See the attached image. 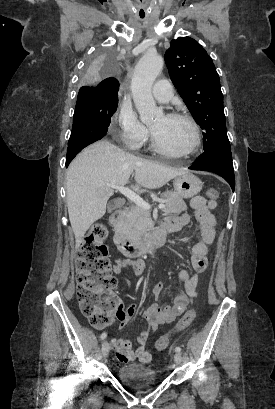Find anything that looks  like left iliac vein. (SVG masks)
Wrapping results in <instances>:
<instances>
[{
	"label": "left iliac vein",
	"instance_id": "4c4485c4",
	"mask_svg": "<svg viewBox=\"0 0 275 409\" xmlns=\"http://www.w3.org/2000/svg\"><path fill=\"white\" fill-rule=\"evenodd\" d=\"M174 360L176 362V364H181L182 360H183V356L180 352H176L174 355Z\"/></svg>",
	"mask_w": 275,
	"mask_h": 409
}]
</instances>
